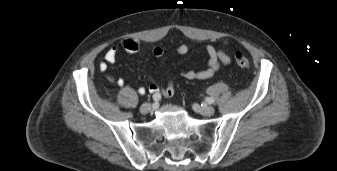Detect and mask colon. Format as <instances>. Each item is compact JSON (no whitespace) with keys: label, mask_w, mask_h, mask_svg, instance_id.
Returning a JSON list of instances; mask_svg holds the SVG:
<instances>
[{"label":"colon","mask_w":337,"mask_h":171,"mask_svg":"<svg viewBox=\"0 0 337 171\" xmlns=\"http://www.w3.org/2000/svg\"><path fill=\"white\" fill-rule=\"evenodd\" d=\"M235 62L241 68H248L250 65L249 59L241 52L235 54Z\"/></svg>","instance_id":"obj_1"}]
</instances>
